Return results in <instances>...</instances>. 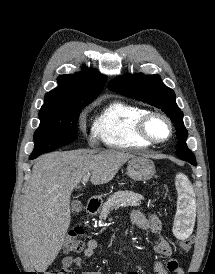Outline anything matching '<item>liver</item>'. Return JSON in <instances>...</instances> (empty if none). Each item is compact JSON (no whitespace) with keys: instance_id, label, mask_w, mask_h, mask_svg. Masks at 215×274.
<instances>
[{"instance_id":"6515ba94","label":"liver","mask_w":215,"mask_h":274,"mask_svg":"<svg viewBox=\"0 0 215 274\" xmlns=\"http://www.w3.org/2000/svg\"><path fill=\"white\" fill-rule=\"evenodd\" d=\"M132 157L115 150H74L38 158L16 218L18 245L36 271L45 272L57 257L70 224L71 193L83 177L91 173L92 184L108 183Z\"/></svg>"}]
</instances>
